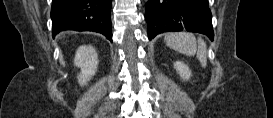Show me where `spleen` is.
I'll return each mask as SVG.
<instances>
[{
  "mask_svg": "<svg viewBox=\"0 0 273 118\" xmlns=\"http://www.w3.org/2000/svg\"><path fill=\"white\" fill-rule=\"evenodd\" d=\"M165 42L168 47L182 54L193 56L196 54L202 67L207 65V48L202 39L196 40L192 34L171 33L165 36Z\"/></svg>",
  "mask_w": 273,
  "mask_h": 118,
  "instance_id": "3e777b00",
  "label": "spleen"
}]
</instances>
